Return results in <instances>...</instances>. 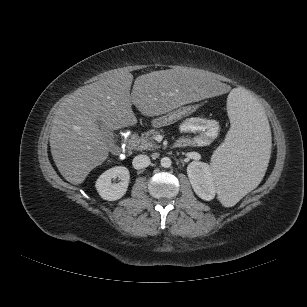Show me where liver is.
Here are the masks:
<instances>
[{
    "mask_svg": "<svg viewBox=\"0 0 307 307\" xmlns=\"http://www.w3.org/2000/svg\"><path fill=\"white\" fill-rule=\"evenodd\" d=\"M122 70L77 89L57 109L50 134L53 160L70 183H83L101 165L109 150L97 120L110 130L134 125L132 104L146 116L172 111L182 105L229 92V85L203 70L178 67L153 71L135 79Z\"/></svg>",
    "mask_w": 307,
    "mask_h": 307,
    "instance_id": "1",
    "label": "liver"
}]
</instances>
